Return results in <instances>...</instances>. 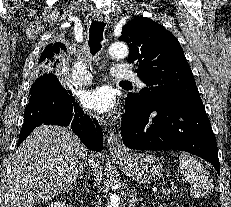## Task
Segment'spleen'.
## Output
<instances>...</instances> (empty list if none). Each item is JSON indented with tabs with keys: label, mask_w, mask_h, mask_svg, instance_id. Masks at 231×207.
<instances>
[{
	"label": "spleen",
	"mask_w": 231,
	"mask_h": 207,
	"mask_svg": "<svg viewBox=\"0 0 231 207\" xmlns=\"http://www.w3.org/2000/svg\"><path fill=\"white\" fill-rule=\"evenodd\" d=\"M179 167L185 179L191 184L192 196L201 197L213 190V181L209 173L193 156L181 154Z\"/></svg>",
	"instance_id": "spleen-1"
}]
</instances>
